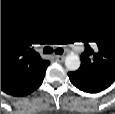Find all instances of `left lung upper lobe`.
Masks as SVG:
<instances>
[{
	"mask_svg": "<svg viewBox=\"0 0 115 114\" xmlns=\"http://www.w3.org/2000/svg\"><path fill=\"white\" fill-rule=\"evenodd\" d=\"M85 51L77 75L115 81V19L91 30L84 38Z\"/></svg>",
	"mask_w": 115,
	"mask_h": 114,
	"instance_id": "obj_1",
	"label": "left lung upper lobe"
}]
</instances>
